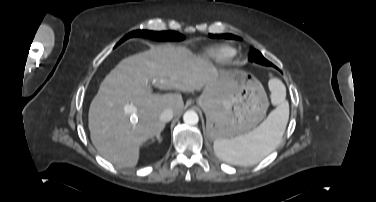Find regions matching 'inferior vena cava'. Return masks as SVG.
<instances>
[{
	"mask_svg": "<svg viewBox=\"0 0 376 202\" xmlns=\"http://www.w3.org/2000/svg\"><path fill=\"white\" fill-rule=\"evenodd\" d=\"M173 111L171 109H165L160 115V121L169 122L173 118Z\"/></svg>",
	"mask_w": 376,
	"mask_h": 202,
	"instance_id": "inferior-vena-cava-1",
	"label": "inferior vena cava"
}]
</instances>
